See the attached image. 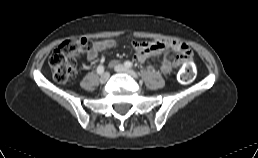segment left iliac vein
I'll use <instances>...</instances> for the list:
<instances>
[{"label":"left iliac vein","instance_id":"obj_1","mask_svg":"<svg viewBox=\"0 0 258 158\" xmlns=\"http://www.w3.org/2000/svg\"><path fill=\"white\" fill-rule=\"evenodd\" d=\"M114 70L118 73H125L128 74L134 78H137V73L131 69L126 68L125 66L121 65V64H116L114 66Z\"/></svg>","mask_w":258,"mask_h":158}]
</instances>
